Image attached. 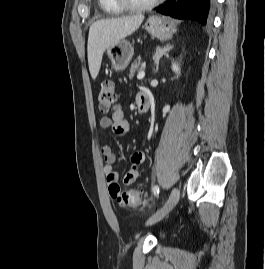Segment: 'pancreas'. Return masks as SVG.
Segmentation results:
<instances>
[{
    "mask_svg": "<svg viewBox=\"0 0 265 269\" xmlns=\"http://www.w3.org/2000/svg\"><path fill=\"white\" fill-rule=\"evenodd\" d=\"M143 69V64L141 63V57H138L131 65L129 77H134L135 73Z\"/></svg>",
    "mask_w": 265,
    "mask_h": 269,
    "instance_id": "obj_1",
    "label": "pancreas"
}]
</instances>
